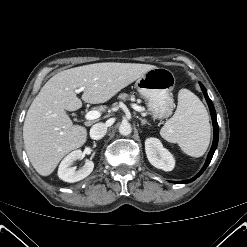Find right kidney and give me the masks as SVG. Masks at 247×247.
Here are the masks:
<instances>
[{
	"instance_id": "obj_1",
	"label": "right kidney",
	"mask_w": 247,
	"mask_h": 247,
	"mask_svg": "<svg viewBox=\"0 0 247 247\" xmlns=\"http://www.w3.org/2000/svg\"><path fill=\"white\" fill-rule=\"evenodd\" d=\"M82 151L75 150L68 154L60 163L58 168V176L61 180L69 183H74L86 178L94 168L93 161H87L85 165L76 170L75 167H71L72 163L76 160L81 159Z\"/></svg>"
}]
</instances>
